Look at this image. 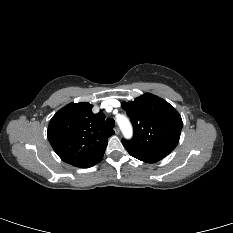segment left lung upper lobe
<instances>
[{
  "label": "left lung upper lobe",
  "mask_w": 233,
  "mask_h": 233,
  "mask_svg": "<svg viewBox=\"0 0 233 233\" xmlns=\"http://www.w3.org/2000/svg\"><path fill=\"white\" fill-rule=\"evenodd\" d=\"M122 108L134 128L133 139L121 141L127 150L166 156L177 146L183 123L168 102L146 93L132 102H123Z\"/></svg>",
  "instance_id": "left-lung-upper-lobe-1"
}]
</instances>
